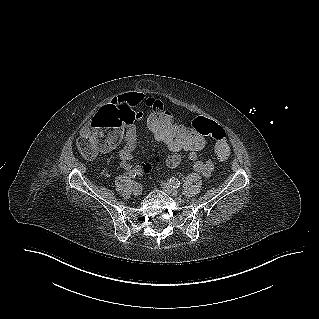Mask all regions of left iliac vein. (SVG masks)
<instances>
[{"label": "left iliac vein", "instance_id": "obj_1", "mask_svg": "<svg viewBox=\"0 0 319 319\" xmlns=\"http://www.w3.org/2000/svg\"><path fill=\"white\" fill-rule=\"evenodd\" d=\"M162 188L171 196H178V191L168 182H161Z\"/></svg>", "mask_w": 319, "mask_h": 319}]
</instances>
